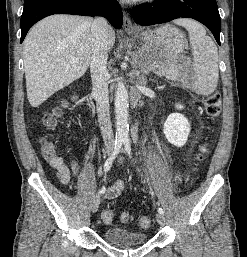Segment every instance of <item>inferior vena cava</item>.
Instances as JSON below:
<instances>
[{"instance_id": "1", "label": "inferior vena cava", "mask_w": 247, "mask_h": 257, "mask_svg": "<svg viewBox=\"0 0 247 257\" xmlns=\"http://www.w3.org/2000/svg\"><path fill=\"white\" fill-rule=\"evenodd\" d=\"M108 31L106 19L97 17L92 22V55L90 60V73L92 78V95L96 101L98 122L107 148L114 145V135L109 114V94L107 71L108 58Z\"/></svg>"}]
</instances>
